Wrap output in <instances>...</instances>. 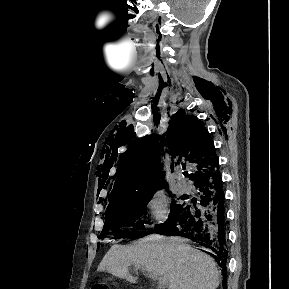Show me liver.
<instances>
[{
    "label": "liver",
    "mask_w": 289,
    "mask_h": 289,
    "mask_svg": "<svg viewBox=\"0 0 289 289\" xmlns=\"http://www.w3.org/2000/svg\"><path fill=\"white\" fill-rule=\"evenodd\" d=\"M130 264L161 279L167 289H216L220 283L213 258L179 237L151 235L130 246L113 245L98 271L135 283L128 272Z\"/></svg>",
    "instance_id": "6515ba94"
}]
</instances>
